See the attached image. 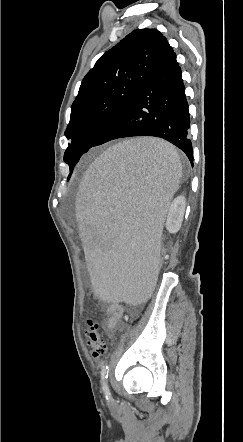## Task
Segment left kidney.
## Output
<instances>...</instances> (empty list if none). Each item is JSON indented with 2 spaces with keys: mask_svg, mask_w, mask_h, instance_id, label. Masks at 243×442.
<instances>
[{
  "mask_svg": "<svg viewBox=\"0 0 243 442\" xmlns=\"http://www.w3.org/2000/svg\"><path fill=\"white\" fill-rule=\"evenodd\" d=\"M186 207L184 196H178L171 202L170 214H167L166 229L169 233L175 234L181 228Z\"/></svg>",
  "mask_w": 243,
  "mask_h": 442,
  "instance_id": "obj_1",
  "label": "left kidney"
}]
</instances>
